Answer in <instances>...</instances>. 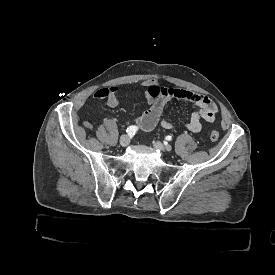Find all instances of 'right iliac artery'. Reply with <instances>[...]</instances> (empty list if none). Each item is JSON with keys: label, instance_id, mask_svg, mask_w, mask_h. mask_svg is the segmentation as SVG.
Wrapping results in <instances>:
<instances>
[{"label": "right iliac artery", "instance_id": "82829eb1", "mask_svg": "<svg viewBox=\"0 0 275 275\" xmlns=\"http://www.w3.org/2000/svg\"><path fill=\"white\" fill-rule=\"evenodd\" d=\"M138 131V127L135 125L129 126L126 130L128 135H134Z\"/></svg>", "mask_w": 275, "mask_h": 275}]
</instances>
